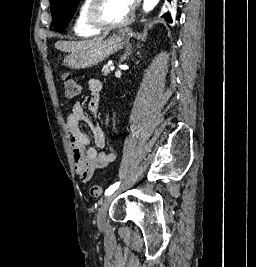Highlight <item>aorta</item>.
<instances>
[{
    "label": "aorta",
    "mask_w": 256,
    "mask_h": 267,
    "mask_svg": "<svg viewBox=\"0 0 256 267\" xmlns=\"http://www.w3.org/2000/svg\"><path fill=\"white\" fill-rule=\"evenodd\" d=\"M158 2H160V0H143V8H142L143 12H145V14H148V12L154 10Z\"/></svg>",
    "instance_id": "aorta-1"
}]
</instances>
